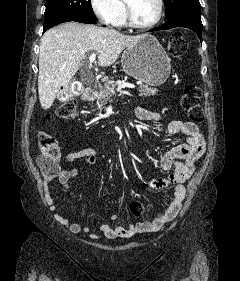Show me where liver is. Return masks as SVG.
Masks as SVG:
<instances>
[{
  "label": "liver",
  "mask_w": 240,
  "mask_h": 281,
  "mask_svg": "<svg viewBox=\"0 0 240 281\" xmlns=\"http://www.w3.org/2000/svg\"><path fill=\"white\" fill-rule=\"evenodd\" d=\"M145 35H125L116 30L68 22L45 32L40 42L38 94L41 107L53 104L61 87L82 66L90 53H98V65H112L127 47L138 43Z\"/></svg>",
  "instance_id": "obj_1"
}]
</instances>
